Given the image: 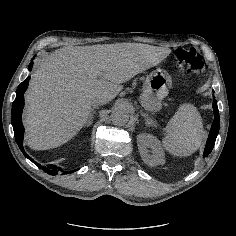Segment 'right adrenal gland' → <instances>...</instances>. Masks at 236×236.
I'll list each match as a JSON object with an SVG mask.
<instances>
[{"label":"right adrenal gland","instance_id":"obj_1","mask_svg":"<svg viewBox=\"0 0 236 236\" xmlns=\"http://www.w3.org/2000/svg\"><path fill=\"white\" fill-rule=\"evenodd\" d=\"M94 109H98V106H93L92 110H91V114H90V118L88 120L87 126H89L90 124H92L93 121V114H95Z\"/></svg>","mask_w":236,"mask_h":236}]
</instances>
